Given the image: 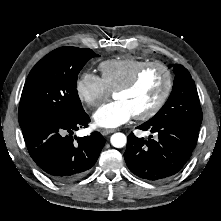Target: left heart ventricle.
<instances>
[{"label": "left heart ventricle", "mask_w": 221, "mask_h": 221, "mask_svg": "<svg viewBox=\"0 0 221 221\" xmlns=\"http://www.w3.org/2000/svg\"><path fill=\"white\" fill-rule=\"evenodd\" d=\"M165 86V76L158 67L148 69L131 89L118 92L116 99L125 101L134 115L151 108L160 97Z\"/></svg>", "instance_id": "left-heart-ventricle-1"}]
</instances>
